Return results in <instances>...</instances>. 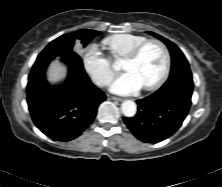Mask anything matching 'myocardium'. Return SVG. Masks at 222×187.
<instances>
[{
  "mask_svg": "<svg viewBox=\"0 0 222 187\" xmlns=\"http://www.w3.org/2000/svg\"><path fill=\"white\" fill-rule=\"evenodd\" d=\"M151 44L158 45L162 49L165 56V63H164L163 71L161 75L159 76V78L153 83L142 87L144 90H148V91L159 88L166 81L169 75L170 68H171V53L168 47L166 46V44L158 39H148L142 42L141 44H139L137 47H135L127 56L124 57V61L133 62L137 60L140 57L143 50L148 45H151Z\"/></svg>",
  "mask_w": 222,
  "mask_h": 187,
  "instance_id": "myocardium-1",
  "label": "myocardium"
}]
</instances>
